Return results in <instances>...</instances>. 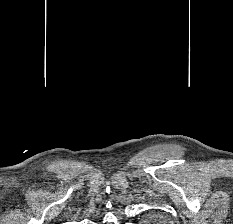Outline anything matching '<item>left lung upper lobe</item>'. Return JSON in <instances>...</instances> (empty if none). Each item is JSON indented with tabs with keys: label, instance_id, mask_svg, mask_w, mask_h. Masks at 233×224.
<instances>
[{
	"label": "left lung upper lobe",
	"instance_id": "1",
	"mask_svg": "<svg viewBox=\"0 0 233 224\" xmlns=\"http://www.w3.org/2000/svg\"><path fill=\"white\" fill-rule=\"evenodd\" d=\"M152 221H154V222H159V221H160V218L154 217V218H152Z\"/></svg>",
	"mask_w": 233,
	"mask_h": 224
}]
</instances>
